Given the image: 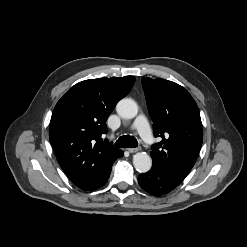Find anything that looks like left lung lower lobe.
Instances as JSON below:
<instances>
[{
    "instance_id": "1",
    "label": "left lung lower lobe",
    "mask_w": 247,
    "mask_h": 247,
    "mask_svg": "<svg viewBox=\"0 0 247 247\" xmlns=\"http://www.w3.org/2000/svg\"><path fill=\"white\" fill-rule=\"evenodd\" d=\"M182 181V179L156 165H153L149 172L138 177L140 186L155 196H161L170 192Z\"/></svg>"
}]
</instances>
